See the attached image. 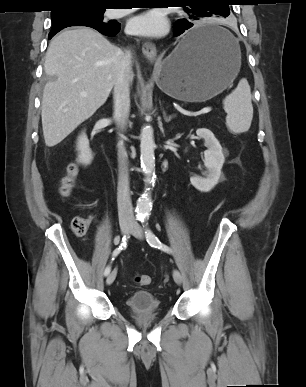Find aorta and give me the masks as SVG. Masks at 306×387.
I'll list each match as a JSON object with an SVG mask.
<instances>
[{"mask_svg":"<svg viewBox=\"0 0 306 387\" xmlns=\"http://www.w3.org/2000/svg\"><path fill=\"white\" fill-rule=\"evenodd\" d=\"M155 143L153 130L150 126L143 127L140 135V160L143 173L145 175L146 186H151L155 170ZM152 210V200L150 188H146L142 196L137 200L136 211L139 216H148Z\"/></svg>","mask_w":306,"mask_h":387,"instance_id":"obj_1","label":"aorta"}]
</instances>
